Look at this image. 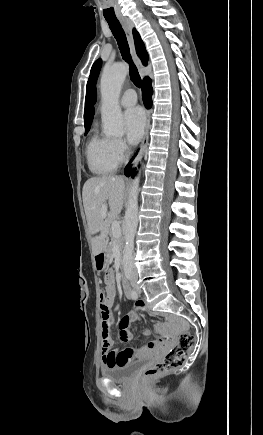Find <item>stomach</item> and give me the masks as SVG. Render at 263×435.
<instances>
[{"label": "stomach", "mask_w": 263, "mask_h": 435, "mask_svg": "<svg viewBox=\"0 0 263 435\" xmlns=\"http://www.w3.org/2000/svg\"><path fill=\"white\" fill-rule=\"evenodd\" d=\"M108 262H109V255L107 254V252H101L95 255V265H97V269L99 271L105 269Z\"/></svg>", "instance_id": "obj_1"}]
</instances>
